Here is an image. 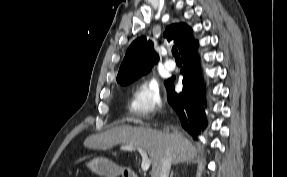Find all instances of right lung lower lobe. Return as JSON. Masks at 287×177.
Instances as JSON below:
<instances>
[{
	"label": "right lung lower lobe",
	"instance_id": "1",
	"mask_svg": "<svg viewBox=\"0 0 287 177\" xmlns=\"http://www.w3.org/2000/svg\"><path fill=\"white\" fill-rule=\"evenodd\" d=\"M196 46L193 38L181 54L183 60V90L176 93L172 76L165 82L168 94V102L180 118L182 127L191 135H198L207 126L203 104L205 103V91L200 74V65L197 58Z\"/></svg>",
	"mask_w": 287,
	"mask_h": 177
}]
</instances>
